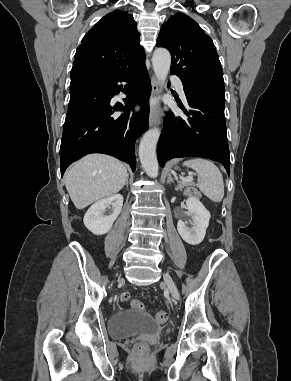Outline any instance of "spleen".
Instances as JSON below:
<instances>
[{
	"label": "spleen",
	"instance_id": "spleen-1",
	"mask_svg": "<svg viewBox=\"0 0 291 381\" xmlns=\"http://www.w3.org/2000/svg\"><path fill=\"white\" fill-rule=\"evenodd\" d=\"M184 165L194 169L201 180L196 184L202 193L213 202H221L224 197L223 177L216 165L211 161L195 158L184 162Z\"/></svg>",
	"mask_w": 291,
	"mask_h": 381
}]
</instances>
